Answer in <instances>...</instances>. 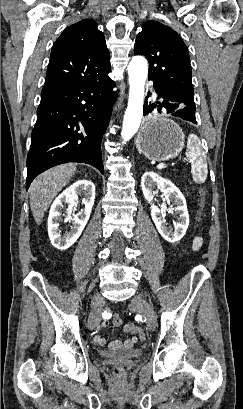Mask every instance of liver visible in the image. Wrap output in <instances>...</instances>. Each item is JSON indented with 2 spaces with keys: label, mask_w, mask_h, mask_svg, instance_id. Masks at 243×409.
Returning a JSON list of instances; mask_svg holds the SVG:
<instances>
[{
  "label": "liver",
  "mask_w": 243,
  "mask_h": 409,
  "mask_svg": "<svg viewBox=\"0 0 243 409\" xmlns=\"http://www.w3.org/2000/svg\"><path fill=\"white\" fill-rule=\"evenodd\" d=\"M76 171L72 163L53 167L34 179L29 188L30 207L39 225L54 197L65 187Z\"/></svg>",
  "instance_id": "6515ba94"
}]
</instances>
